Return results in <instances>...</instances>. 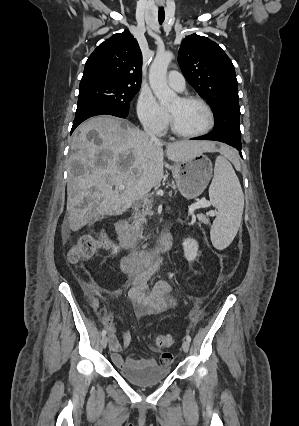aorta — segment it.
<instances>
[{"label": "aorta", "instance_id": "762f6f07", "mask_svg": "<svg viewBox=\"0 0 299 426\" xmlns=\"http://www.w3.org/2000/svg\"><path fill=\"white\" fill-rule=\"evenodd\" d=\"M173 58V53L165 51L157 53L149 70V83L160 105L166 106L174 101L176 93L167 85V69Z\"/></svg>", "mask_w": 299, "mask_h": 426}]
</instances>
